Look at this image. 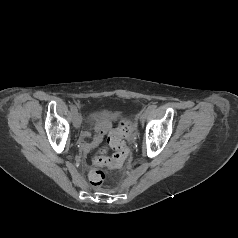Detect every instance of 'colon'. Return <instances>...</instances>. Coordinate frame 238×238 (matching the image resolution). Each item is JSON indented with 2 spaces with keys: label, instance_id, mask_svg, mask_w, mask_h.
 I'll list each match as a JSON object with an SVG mask.
<instances>
[{
  "label": "colon",
  "instance_id": "colon-1",
  "mask_svg": "<svg viewBox=\"0 0 238 238\" xmlns=\"http://www.w3.org/2000/svg\"><path fill=\"white\" fill-rule=\"evenodd\" d=\"M134 132V126L128 121L119 123L108 137V145L115 151L111 157L106 155V151L102 150L94 156L93 162L96 166H104L106 170H115L128 156V148L124 142L125 138L130 137ZM106 177V173L101 169L92 170L89 174L90 183L93 186H100Z\"/></svg>",
  "mask_w": 238,
  "mask_h": 238
}]
</instances>
